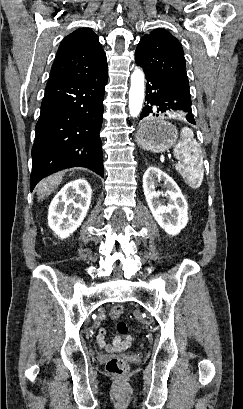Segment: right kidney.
<instances>
[{
  "label": "right kidney",
  "instance_id": "ca27d5eb",
  "mask_svg": "<svg viewBox=\"0 0 243 409\" xmlns=\"http://www.w3.org/2000/svg\"><path fill=\"white\" fill-rule=\"evenodd\" d=\"M92 189L84 179L67 183L53 198L48 225L62 239L69 237L82 223L90 206Z\"/></svg>",
  "mask_w": 243,
  "mask_h": 409
}]
</instances>
